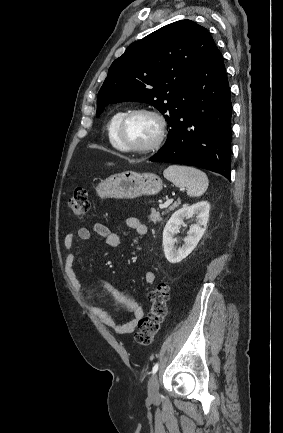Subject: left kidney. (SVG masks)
<instances>
[{
  "mask_svg": "<svg viewBox=\"0 0 283 433\" xmlns=\"http://www.w3.org/2000/svg\"><path fill=\"white\" fill-rule=\"evenodd\" d=\"M209 211L210 204L207 201H201L191 206H184L173 213L163 230L164 253L170 263H179L195 249L205 232ZM192 216L196 217V223L190 226L188 235L184 238V244L179 248L174 246L176 242L174 235L179 232V227L184 223L183 220Z\"/></svg>",
  "mask_w": 283,
  "mask_h": 433,
  "instance_id": "5707ae66",
  "label": "left kidney"
}]
</instances>
